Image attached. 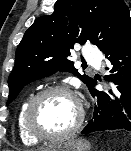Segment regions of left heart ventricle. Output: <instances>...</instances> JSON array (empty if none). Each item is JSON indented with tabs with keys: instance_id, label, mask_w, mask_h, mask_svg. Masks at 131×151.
I'll return each mask as SVG.
<instances>
[{
	"instance_id": "1",
	"label": "left heart ventricle",
	"mask_w": 131,
	"mask_h": 151,
	"mask_svg": "<svg viewBox=\"0 0 131 151\" xmlns=\"http://www.w3.org/2000/svg\"><path fill=\"white\" fill-rule=\"evenodd\" d=\"M76 117L75 102L66 94L53 93L44 97L37 105L34 125L41 133L56 135L69 129Z\"/></svg>"
}]
</instances>
